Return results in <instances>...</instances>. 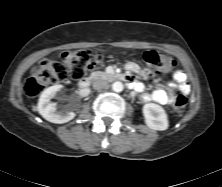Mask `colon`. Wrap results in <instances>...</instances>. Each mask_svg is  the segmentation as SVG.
<instances>
[{
	"mask_svg": "<svg viewBox=\"0 0 222 187\" xmlns=\"http://www.w3.org/2000/svg\"><path fill=\"white\" fill-rule=\"evenodd\" d=\"M144 61L152 73H161L169 69L171 59L155 50L143 54ZM103 60L101 52L88 50L68 51L63 53L60 61L43 59L32 70L26 80L25 91L28 96L39 95L47 86L64 81L68 78L82 80L87 73ZM187 98L183 94L174 97L171 111L178 116L183 113Z\"/></svg>",
	"mask_w": 222,
	"mask_h": 187,
	"instance_id": "obj_1",
	"label": "colon"
}]
</instances>
